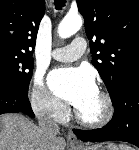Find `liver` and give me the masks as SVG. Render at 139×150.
Returning <instances> with one entry per match:
<instances>
[{
  "mask_svg": "<svg viewBox=\"0 0 139 150\" xmlns=\"http://www.w3.org/2000/svg\"><path fill=\"white\" fill-rule=\"evenodd\" d=\"M62 137L45 135L20 114L0 116V150H64Z\"/></svg>",
  "mask_w": 139,
  "mask_h": 150,
  "instance_id": "liver-1",
  "label": "liver"
}]
</instances>
